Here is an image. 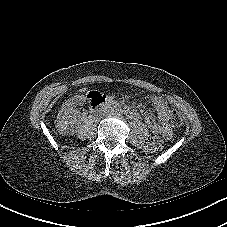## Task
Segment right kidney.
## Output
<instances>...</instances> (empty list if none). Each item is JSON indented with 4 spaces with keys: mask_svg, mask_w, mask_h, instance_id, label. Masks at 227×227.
<instances>
[{
    "mask_svg": "<svg viewBox=\"0 0 227 227\" xmlns=\"http://www.w3.org/2000/svg\"><path fill=\"white\" fill-rule=\"evenodd\" d=\"M83 96L76 95L75 97L69 99L63 104L60 113L58 114L57 124L60 129L65 130L68 127H74L76 124V119L74 118L75 109L74 107L77 105L79 100H82Z\"/></svg>",
    "mask_w": 227,
    "mask_h": 227,
    "instance_id": "right-kidney-1",
    "label": "right kidney"
}]
</instances>
